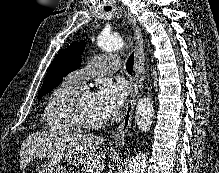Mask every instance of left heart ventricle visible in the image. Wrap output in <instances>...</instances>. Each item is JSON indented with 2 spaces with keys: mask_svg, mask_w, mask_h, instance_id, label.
I'll return each instance as SVG.
<instances>
[{
  "mask_svg": "<svg viewBox=\"0 0 219 173\" xmlns=\"http://www.w3.org/2000/svg\"><path fill=\"white\" fill-rule=\"evenodd\" d=\"M82 111L85 115V117L93 122H101L103 119L101 118L96 102H95V94L89 93L85 96L83 102H82Z\"/></svg>",
  "mask_w": 219,
  "mask_h": 173,
  "instance_id": "1",
  "label": "left heart ventricle"
}]
</instances>
